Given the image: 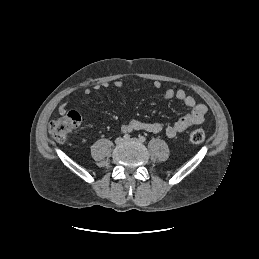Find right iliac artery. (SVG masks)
<instances>
[{
  "label": "right iliac artery",
  "instance_id": "right-iliac-artery-1",
  "mask_svg": "<svg viewBox=\"0 0 259 259\" xmlns=\"http://www.w3.org/2000/svg\"><path fill=\"white\" fill-rule=\"evenodd\" d=\"M123 138H124L125 140H128V139H130V135H129V134H125V135L123 136Z\"/></svg>",
  "mask_w": 259,
  "mask_h": 259
}]
</instances>
